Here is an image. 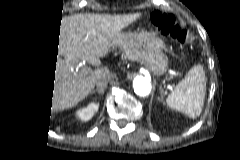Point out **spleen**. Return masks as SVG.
<instances>
[{"label": "spleen", "mask_w": 240, "mask_h": 160, "mask_svg": "<svg viewBox=\"0 0 240 160\" xmlns=\"http://www.w3.org/2000/svg\"><path fill=\"white\" fill-rule=\"evenodd\" d=\"M205 98V74L201 67L189 70L186 77L168 95L167 105L189 117L199 116Z\"/></svg>", "instance_id": "1"}]
</instances>
